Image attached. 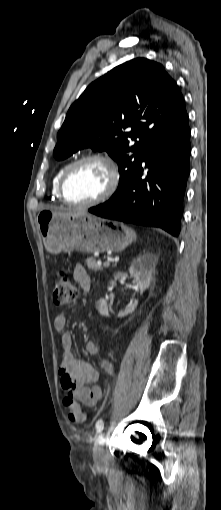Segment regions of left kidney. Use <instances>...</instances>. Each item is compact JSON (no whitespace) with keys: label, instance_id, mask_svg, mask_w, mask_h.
<instances>
[{"label":"left kidney","instance_id":"1","mask_svg":"<svg viewBox=\"0 0 221 510\" xmlns=\"http://www.w3.org/2000/svg\"><path fill=\"white\" fill-rule=\"evenodd\" d=\"M157 257L150 254L144 253L135 259L129 269L130 275L135 279L137 285L140 288V293L143 292L149 287L152 275L155 271V266L157 264ZM138 305V300H134L129 303L127 307L123 311L118 313V317H125L128 314L134 312ZM95 307L102 316H109L108 312V304L105 299H99L95 303Z\"/></svg>","mask_w":221,"mask_h":510}]
</instances>
